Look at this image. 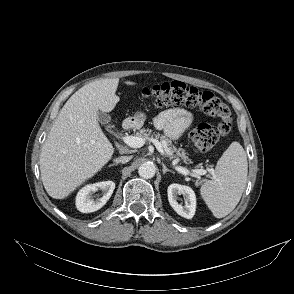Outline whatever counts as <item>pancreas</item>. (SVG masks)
<instances>
[{"instance_id": "1", "label": "pancreas", "mask_w": 294, "mask_h": 294, "mask_svg": "<svg viewBox=\"0 0 294 294\" xmlns=\"http://www.w3.org/2000/svg\"><path fill=\"white\" fill-rule=\"evenodd\" d=\"M136 136L145 140H151L153 136H155V138L159 139L163 146L169 150L167 155L170 158H181L186 164L189 162L185 150L182 148H177L175 145H173L172 140L163 134L152 132V130L149 128H142L139 132L136 133ZM196 184L198 185L199 183L197 182Z\"/></svg>"}]
</instances>
